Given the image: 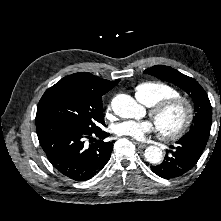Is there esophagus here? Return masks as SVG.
I'll use <instances>...</instances> for the list:
<instances>
[{"label": "esophagus", "instance_id": "1", "mask_svg": "<svg viewBox=\"0 0 221 221\" xmlns=\"http://www.w3.org/2000/svg\"><path fill=\"white\" fill-rule=\"evenodd\" d=\"M136 145H137L138 149H144V148L147 147L146 144H144V143H140V142H136Z\"/></svg>", "mask_w": 221, "mask_h": 221}]
</instances>
